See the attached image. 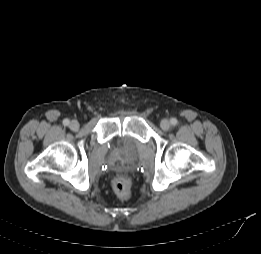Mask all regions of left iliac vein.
I'll return each instance as SVG.
<instances>
[{"instance_id": "1", "label": "left iliac vein", "mask_w": 261, "mask_h": 254, "mask_svg": "<svg viewBox=\"0 0 261 254\" xmlns=\"http://www.w3.org/2000/svg\"><path fill=\"white\" fill-rule=\"evenodd\" d=\"M160 127H161L164 131H167V130L170 129L171 124H170V122H169L167 119H163V120L160 122Z\"/></svg>"}]
</instances>
